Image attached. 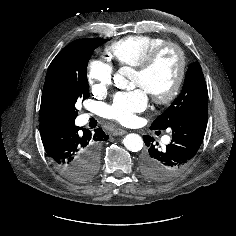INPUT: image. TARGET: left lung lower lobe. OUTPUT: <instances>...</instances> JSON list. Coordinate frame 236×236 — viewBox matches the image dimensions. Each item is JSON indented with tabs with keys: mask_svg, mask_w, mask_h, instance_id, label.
Segmentation results:
<instances>
[{
	"mask_svg": "<svg viewBox=\"0 0 236 236\" xmlns=\"http://www.w3.org/2000/svg\"><path fill=\"white\" fill-rule=\"evenodd\" d=\"M208 106L194 108L179 117L169 128L172 141L163 150L154 138L144 135L148 151L141 158V170L147 178L164 182L178 176L196 155L207 127Z\"/></svg>",
	"mask_w": 236,
	"mask_h": 236,
	"instance_id": "1",
	"label": "left lung lower lobe"
}]
</instances>
